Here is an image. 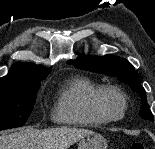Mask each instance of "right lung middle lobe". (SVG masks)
<instances>
[{
    "instance_id": "dd1d6c3e",
    "label": "right lung middle lobe",
    "mask_w": 155,
    "mask_h": 149,
    "mask_svg": "<svg viewBox=\"0 0 155 149\" xmlns=\"http://www.w3.org/2000/svg\"><path fill=\"white\" fill-rule=\"evenodd\" d=\"M45 78L0 81V130L26 123L34 108L40 81Z\"/></svg>"
}]
</instances>
